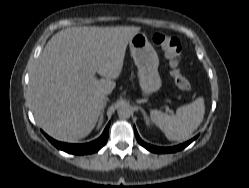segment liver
Instances as JSON below:
<instances>
[{"mask_svg": "<svg viewBox=\"0 0 249 188\" xmlns=\"http://www.w3.org/2000/svg\"><path fill=\"white\" fill-rule=\"evenodd\" d=\"M140 27H72L46 44L30 78V104L40 128L75 142L95 127L103 97L115 88L127 45ZM103 76L95 78V73Z\"/></svg>", "mask_w": 249, "mask_h": 188, "instance_id": "1", "label": "liver"}]
</instances>
